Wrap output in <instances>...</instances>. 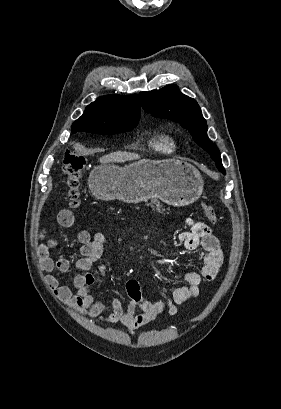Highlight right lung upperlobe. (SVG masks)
I'll use <instances>...</instances> for the list:
<instances>
[{
    "instance_id": "1",
    "label": "right lung upper lobe",
    "mask_w": 281,
    "mask_h": 409,
    "mask_svg": "<svg viewBox=\"0 0 281 409\" xmlns=\"http://www.w3.org/2000/svg\"><path fill=\"white\" fill-rule=\"evenodd\" d=\"M140 118L138 95L99 97L88 105L84 114L72 124L81 127H126L137 125Z\"/></svg>"
}]
</instances>
